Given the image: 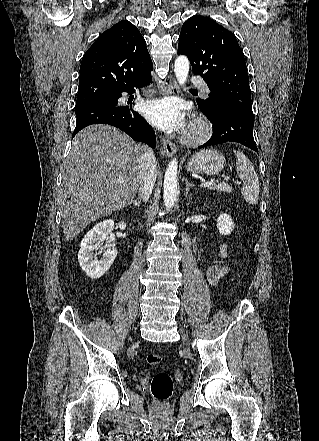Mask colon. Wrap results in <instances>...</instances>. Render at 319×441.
Listing matches in <instances>:
<instances>
[{
    "label": "colon",
    "mask_w": 319,
    "mask_h": 441,
    "mask_svg": "<svg viewBox=\"0 0 319 441\" xmlns=\"http://www.w3.org/2000/svg\"><path fill=\"white\" fill-rule=\"evenodd\" d=\"M146 360L150 365H158L162 358L157 354H149ZM172 392L173 380L170 374L165 371L156 373L151 381V394L153 398L159 403H164L171 397Z\"/></svg>",
    "instance_id": "1"
}]
</instances>
